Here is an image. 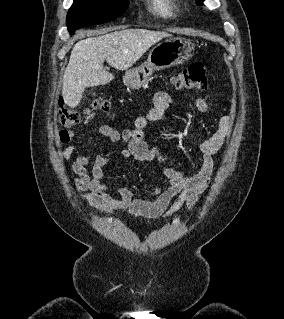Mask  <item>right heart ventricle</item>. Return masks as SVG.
<instances>
[{
	"instance_id": "e07e8e85",
	"label": "right heart ventricle",
	"mask_w": 284,
	"mask_h": 319,
	"mask_svg": "<svg viewBox=\"0 0 284 319\" xmlns=\"http://www.w3.org/2000/svg\"><path fill=\"white\" fill-rule=\"evenodd\" d=\"M150 12L161 18H175L181 12L178 0H146Z\"/></svg>"
}]
</instances>
